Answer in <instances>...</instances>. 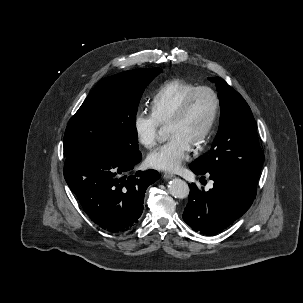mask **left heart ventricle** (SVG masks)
Segmentation results:
<instances>
[{
  "mask_svg": "<svg viewBox=\"0 0 303 303\" xmlns=\"http://www.w3.org/2000/svg\"><path fill=\"white\" fill-rule=\"evenodd\" d=\"M214 108V100L210 93L201 91L195 95L183 119L168 124V134L183 136L192 145L206 129Z\"/></svg>",
  "mask_w": 303,
  "mask_h": 303,
  "instance_id": "obj_1",
  "label": "left heart ventricle"
}]
</instances>
